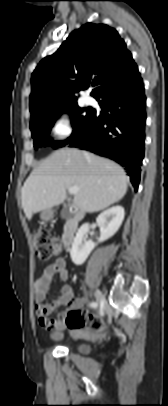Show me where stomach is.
Here are the masks:
<instances>
[{"instance_id":"obj_1","label":"stomach","mask_w":168,"mask_h":406,"mask_svg":"<svg viewBox=\"0 0 168 406\" xmlns=\"http://www.w3.org/2000/svg\"><path fill=\"white\" fill-rule=\"evenodd\" d=\"M53 216V211L48 209V210H44L41 214V218L44 220H49L51 219Z\"/></svg>"}]
</instances>
